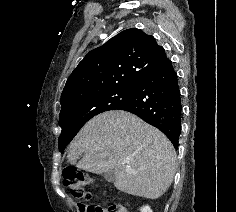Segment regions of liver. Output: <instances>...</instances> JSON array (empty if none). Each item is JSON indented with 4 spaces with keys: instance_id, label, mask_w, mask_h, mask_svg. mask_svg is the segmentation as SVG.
Returning a JSON list of instances; mask_svg holds the SVG:
<instances>
[{
    "instance_id": "obj_1",
    "label": "liver",
    "mask_w": 236,
    "mask_h": 212,
    "mask_svg": "<svg viewBox=\"0 0 236 212\" xmlns=\"http://www.w3.org/2000/svg\"><path fill=\"white\" fill-rule=\"evenodd\" d=\"M68 161L95 174L114 170L118 190L157 199L173 181L176 153L160 130L129 112L114 110L83 126L70 144Z\"/></svg>"
}]
</instances>
